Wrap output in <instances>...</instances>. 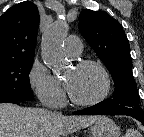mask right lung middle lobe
I'll use <instances>...</instances> for the list:
<instances>
[{
    "label": "right lung middle lobe",
    "mask_w": 144,
    "mask_h": 137,
    "mask_svg": "<svg viewBox=\"0 0 144 137\" xmlns=\"http://www.w3.org/2000/svg\"><path fill=\"white\" fill-rule=\"evenodd\" d=\"M33 58L0 62V99L33 100L29 81Z\"/></svg>",
    "instance_id": "obj_1"
}]
</instances>
